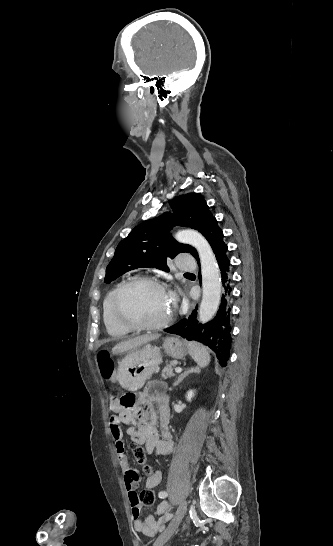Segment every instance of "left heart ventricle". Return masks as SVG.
I'll list each match as a JSON object with an SVG mask.
<instances>
[{"label":"left heart ventricle","instance_id":"left-heart-ventricle-1","mask_svg":"<svg viewBox=\"0 0 333 546\" xmlns=\"http://www.w3.org/2000/svg\"><path fill=\"white\" fill-rule=\"evenodd\" d=\"M123 307L127 315L135 320L157 323L169 315L173 302L165 289L150 284H139L127 291Z\"/></svg>","mask_w":333,"mask_h":546}]
</instances>
